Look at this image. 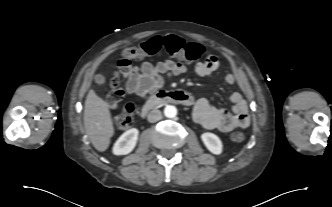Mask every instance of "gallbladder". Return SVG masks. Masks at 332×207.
<instances>
[{
  "instance_id": "bac80fb5",
  "label": "gallbladder",
  "mask_w": 332,
  "mask_h": 207,
  "mask_svg": "<svg viewBox=\"0 0 332 207\" xmlns=\"http://www.w3.org/2000/svg\"><path fill=\"white\" fill-rule=\"evenodd\" d=\"M95 82L99 85H102L105 83V77L101 74H98L95 76Z\"/></svg>"
}]
</instances>
